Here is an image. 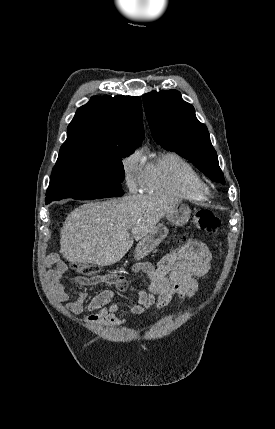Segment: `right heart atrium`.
<instances>
[{
    "mask_svg": "<svg viewBox=\"0 0 275 429\" xmlns=\"http://www.w3.org/2000/svg\"><path fill=\"white\" fill-rule=\"evenodd\" d=\"M123 180L130 191H136L143 186L144 166L142 154L136 150L121 160Z\"/></svg>",
    "mask_w": 275,
    "mask_h": 429,
    "instance_id": "1",
    "label": "right heart atrium"
}]
</instances>
